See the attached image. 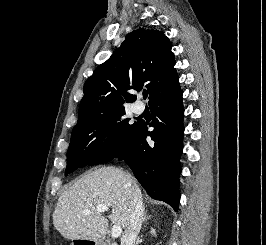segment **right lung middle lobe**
I'll return each instance as SVG.
<instances>
[{"instance_id":"obj_1","label":"right lung middle lobe","mask_w":266,"mask_h":245,"mask_svg":"<svg viewBox=\"0 0 266 245\" xmlns=\"http://www.w3.org/2000/svg\"><path fill=\"white\" fill-rule=\"evenodd\" d=\"M124 115L125 110L121 109L78 121L71 134L65 175L79 167L107 162L125 152L137 122L129 124Z\"/></svg>"}]
</instances>
